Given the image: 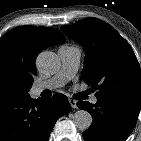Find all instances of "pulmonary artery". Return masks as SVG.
<instances>
[{"mask_svg": "<svg viewBox=\"0 0 141 141\" xmlns=\"http://www.w3.org/2000/svg\"><path fill=\"white\" fill-rule=\"evenodd\" d=\"M58 55L61 60V69L53 77L48 80L42 81L33 87V94L39 95L44 90L57 89L64 86L77 72L81 51L76 46H62L58 50ZM92 103L97 102V97L91 98Z\"/></svg>", "mask_w": 141, "mask_h": 141, "instance_id": "pulmonary-artery-1", "label": "pulmonary artery"}]
</instances>
